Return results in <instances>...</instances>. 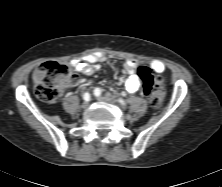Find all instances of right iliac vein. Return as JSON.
Segmentation results:
<instances>
[{
	"label": "right iliac vein",
	"mask_w": 222,
	"mask_h": 187,
	"mask_svg": "<svg viewBox=\"0 0 222 187\" xmlns=\"http://www.w3.org/2000/svg\"><path fill=\"white\" fill-rule=\"evenodd\" d=\"M89 105V102L88 101H85L83 104H82V108L83 109H86Z\"/></svg>",
	"instance_id": "63e3f726"
}]
</instances>
